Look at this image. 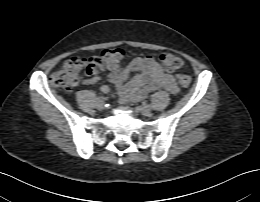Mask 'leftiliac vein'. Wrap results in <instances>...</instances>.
<instances>
[{
	"label": "left iliac vein",
	"instance_id": "left-iliac-vein-1",
	"mask_svg": "<svg viewBox=\"0 0 260 202\" xmlns=\"http://www.w3.org/2000/svg\"><path fill=\"white\" fill-rule=\"evenodd\" d=\"M137 110L141 112L144 116H150L152 114V110L149 105L138 106Z\"/></svg>",
	"mask_w": 260,
	"mask_h": 202
}]
</instances>
